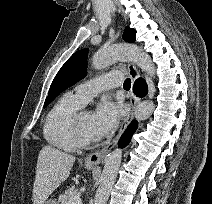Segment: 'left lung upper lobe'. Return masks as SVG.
<instances>
[{
    "instance_id": "5c2ea615",
    "label": "left lung upper lobe",
    "mask_w": 212,
    "mask_h": 204,
    "mask_svg": "<svg viewBox=\"0 0 212 204\" xmlns=\"http://www.w3.org/2000/svg\"><path fill=\"white\" fill-rule=\"evenodd\" d=\"M136 31L130 27H126L123 39L127 42L135 41ZM87 50L82 49L75 52L62 66L55 76L49 94L45 100L46 107L60 92L72 86L86 75Z\"/></svg>"
}]
</instances>
